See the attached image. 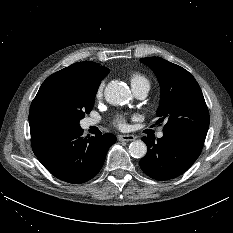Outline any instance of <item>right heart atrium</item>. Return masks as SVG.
Segmentation results:
<instances>
[{
    "label": "right heart atrium",
    "instance_id": "obj_1",
    "mask_svg": "<svg viewBox=\"0 0 233 233\" xmlns=\"http://www.w3.org/2000/svg\"><path fill=\"white\" fill-rule=\"evenodd\" d=\"M103 90H104V84L101 83L98 88H97V91H96V98H101L102 95H103Z\"/></svg>",
    "mask_w": 233,
    "mask_h": 233
}]
</instances>
